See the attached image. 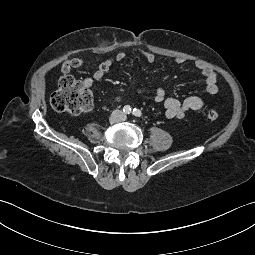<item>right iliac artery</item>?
I'll use <instances>...</instances> for the list:
<instances>
[{
  "instance_id": "82829eb1",
  "label": "right iliac artery",
  "mask_w": 255,
  "mask_h": 255,
  "mask_svg": "<svg viewBox=\"0 0 255 255\" xmlns=\"http://www.w3.org/2000/svg\"><path fill=\"white\" fill-rule=\"evenodd\" d=\"M123 112H124L125 114L131 113V107H130L129 105L124 106Z\"/></svg>"
}]
</instances>
